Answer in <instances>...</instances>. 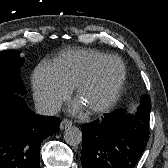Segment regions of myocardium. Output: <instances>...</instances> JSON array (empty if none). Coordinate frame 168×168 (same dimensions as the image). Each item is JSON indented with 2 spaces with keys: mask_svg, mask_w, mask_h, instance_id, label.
Wrapping results in <instances>:
<instances>
[{
  "mask_svg": "<svg viewBox=\"0 0 168 168\" xmlns=\"http://www.w3.org/2000/svg\"><path fill=\"white\" fill-rule=\"evenodd\" d=\"M108 61H116L120 68V76L115 83L114 87L110 91L107 98L99 105L89 107L87 110L90 114L96 115L101 114L113 107L118 100L121 91L124 87L127 71L124 62L115 55H105L101 59L97 60L84 74V76L76 83L74 87V95L77 100L81 96L84 89L89 86L95 79L99 69Z\"/></svg>",
  "mask_w": 168,
  "mask_h": 168,
  "instance_id": "myocardium-1",
  "label": "myocardium"
}]
</instances>
